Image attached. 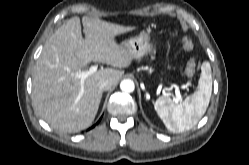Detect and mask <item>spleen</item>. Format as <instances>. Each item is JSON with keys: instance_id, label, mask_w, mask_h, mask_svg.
<instances>
[{"instance_id": "3e777b00", "label": "spleen", "mask_w": 249, "mask_h": 165, "mask_svg": "<svg viewBox=\"0 0 249 165\" xmlns=\"http://www.w3.org/2000/svg\"><path fill=\"white\" fill-rule=\"evenodd\" d=\"M212 93L210 63L201 65L198 90L182 103L175 104L169 97L162 96L154 103V109L166 128L171 132H183L194 127L207 110Z\"/></svg>"}]
</instances>
